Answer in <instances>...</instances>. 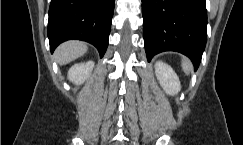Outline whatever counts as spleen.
I'll list each match as a JSON object with an SVG mask.
<instances>
[{
	"label": "spleen",
	"mask_w": 243,
	"mask_h": 145,
	"mask_svg": "<svg viewBox=\"0 0 243 145\" xmlns=\"http://www.w3.org/2000/svg\"><path fill=\"white\" fill-rule=\"evenodd\" d=\"M182 69L186 74H189L192 70V64L188 59H182Z\"/></svg>",
	"instance_id": "1"
}]
</instances>
